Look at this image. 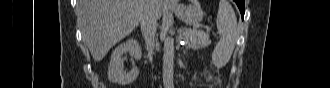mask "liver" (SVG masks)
<instances>
[{"mask_svg": "<svg viewBox=\"0 0 330 88\" xmlns=\"http://www.w3.org/2000/svg\"><path fill=\"white\" fill-rule=\"evenodd\" d=\"M147 5V0H79L82 38L95 61L102 60L111 47L139 25ZM154 6L160 18L163 1L156 0Z\"/></svg>", "mask_w": 330, "mask_h": 88, "instance_id": "6515ba94", "label": "liver"}]
</instances>
